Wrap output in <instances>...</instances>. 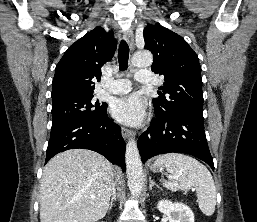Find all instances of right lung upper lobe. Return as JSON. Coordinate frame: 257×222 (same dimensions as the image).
Wrapping results in <instances>:
<instances>
[{"label":"right lung upper lobe","mask_w":257,"mask_h":222,"mask_svg":"<svg viewBox=\"0 0 257 222\" xmlns=\"http://www.w3.org/2000/svg\"><path fill=\"white\" fill-rule=\"evenodd\" d=\"M117 41L113 32L96 27L73 43L55 68L52 101L93 95V79L100 80L101 66L110 61Z\"/></svg>","instance_id":"cb5924a9"}]
</instances>
